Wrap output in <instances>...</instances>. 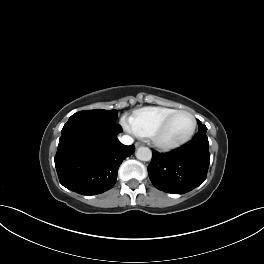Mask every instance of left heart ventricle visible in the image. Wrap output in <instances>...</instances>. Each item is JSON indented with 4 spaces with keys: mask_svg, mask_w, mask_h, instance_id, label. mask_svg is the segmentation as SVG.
I'll use <instances>...</instances> for the list:
<instances>
[{
    "mask_svg": "<svg viewBox=\"0 0 264 264\" xmlns=\"http://www.w3.org/2000/svg\"><path fill=\"white\" fill-rule=\"evenodd\" d=\"M192 120L188 114L176 115L163 134V140L175 141L185 137L191 130Z\"/></svg>",
    "mask_w": 264,
    "mask_h": 264,
    "instance_id": "b2bd125f",
    "label": "left heart ventricle"
}]
</instances>
